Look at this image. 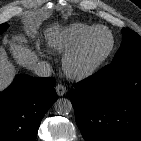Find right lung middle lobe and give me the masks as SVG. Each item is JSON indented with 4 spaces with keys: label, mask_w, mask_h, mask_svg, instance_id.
I'll use <instances>...</instances> for the list:
<instances>
[{
    "label": "right lung middle lobe",
    "mask_w": 141,
    "mask_h": 141,
    "mask_svg": "<svg viewBox=\"0 0 141 141\" xmlns=\"http://www.w3.org/2000/svg\"><path fill=\"white\" fill-rule=\"evenodd\" d=\"M8 28L7 23L0 24V34Z\"/></svg>",
    "instance_id": "1"
}]
</instances>
